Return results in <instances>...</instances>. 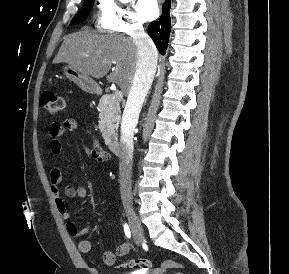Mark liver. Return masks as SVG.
Listing matches in <instances>:
<instances>
[{"label":"liver","instance_id":"1","mask_svg":"<svg viewBox=\"0 0 289 274\" xmlns=\"http://www.w3.org/2000/svg\"><path fill=\"white\" fill-rule=\"evenodd\" d=\"M60 62L97 79L104 77L115 63L114 72L107 80L115 82L128 94L136 70L137 46L129 37L84 30L64 39L53 61Z\"/></svg>","mask_w":289,"mask_h":274}]
</instances>
